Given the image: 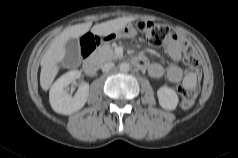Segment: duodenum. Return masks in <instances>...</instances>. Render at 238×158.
<instances>
[{
    "label": "duodenum",
    "mask_w": 238,
    "mask_h": 158,
    "mask_svg": "<svg viewBox=\"0 0 238 158\" xmlns=\"http://www.w3.org/2000/svg\"><path fill=\"white\" fill-rule=\"evenodd\" d=\"M134 64L140 68H144L145 67V62L140 59L137 58L134 60ZM83 69L85 71L86 74L88 75H93L97 72L98 70V64L95 60L93 59H87L84 64H83Z\"/></svg>",
    "instance_id": "410a0bca"
}]
</instances>
